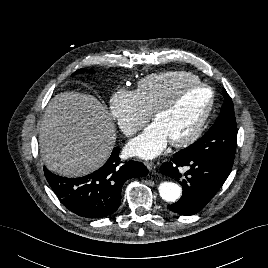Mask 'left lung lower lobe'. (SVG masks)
<instances>
[{
  "mask_svg": "<svg viewBox=\"0 0 268 268\" xmlns=\"http://www.w3.org/2000/svg\"><path fill=\"white\" fill-rule=\"evenodd\" d=\"M189 170L181 174L180 167ZM232 166L210 159L186 157L178 152L170 161L160 167V172L178 181L183 188V195L178 202L168 205V209L182 215H193L199 212L221 188Z\"/></svg>",
  "mask_w": 268,
  "mask_h": 268,
  "instance_id": "0a47b994",
  "label": "left lung lower lobe"
}]
</instances>
